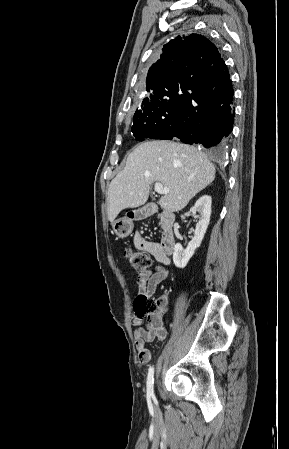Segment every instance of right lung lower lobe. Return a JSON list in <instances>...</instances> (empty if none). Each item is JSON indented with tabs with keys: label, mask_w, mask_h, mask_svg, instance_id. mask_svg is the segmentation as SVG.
I'll list each match as a JSON object with an SVG mask.
<instances>
[{
	"label": "right lung lower lobe",
	"mask_w": 289,
	"mask_h": 449,
	"mask_svg": "<svg viewBox=\"0 0 289 449\" xmlns=\"http://www.w3.org/2000/svg\"><path fill=\"white\" fill-rule=\"evenodd\" d=\"M177 90L175 119L152 138L177 137L184 143L202 144L213 152H221L232 131L235 115L234 90L227 66L206 81L180 83Z\"/></svg>",
	"instance_id": "obj_1"
}]
</instances>
